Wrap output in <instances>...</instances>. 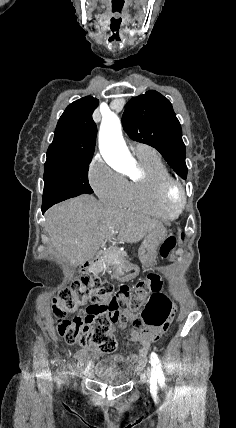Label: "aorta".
<instances>
[{"label":"aorta","instance_id":"762f6f07","mask_svg":"<svg viewBox=\"0 0 236 428\" xmlns=\"http://www.w3.org/2000/svg\"><path fill=\"white\" fill-rule=\"evenodd\" d=\"M99 148L104 159L111 165L126 170L133 168L134 160L123 139L120 119L113 112H108L102 118Z\"/></svg>","mask_w":236,"mask_h":428}]
</instances>
